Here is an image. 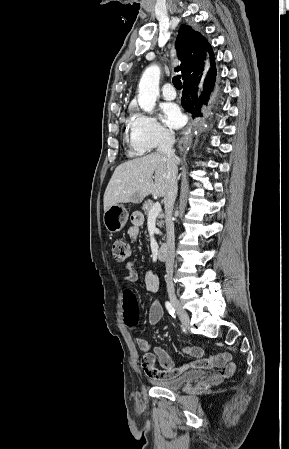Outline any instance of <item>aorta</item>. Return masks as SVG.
Masks as SVG:
<instances>
[{
	"instance_id": "aorta-1",
	"label": "aorta",
	"mask_w": 289,
	"mask_h": 449,
	"mask_svg": "<svg viewBox=\"0 0 289 449\" xmlns=\"http://www.w3.org/2000/svg\"><path fill=\"white\" fill-rule=\"evenodd\" d=\"M160 68L153 64L147 67L139 82L138 104L141 109L151 113L159 95Z\"/></svg>"
}]
</instances>
